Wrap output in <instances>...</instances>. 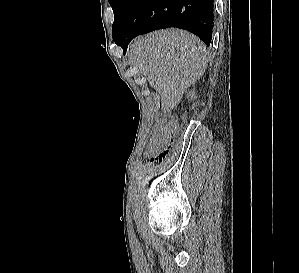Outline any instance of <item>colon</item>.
Masks as SVG:
<instances>
[{
  "instance_id": "5ec220e1",
  "label": "colon",
  "mask_w": 299,
  "mask_h": 273,
  "mask_svg": "<svg viewBox=\"0 0 299 273\" xmlns=\"http://www.w3.org/2000/svg\"><path fill=\"white\" fill-rule=\"evenodd\" d=\"M176 132L177 123L174 120L160 121L156 124L148 145V155L151 161L158 162L167 156Z\"/></svg>"
}]
</instances>
